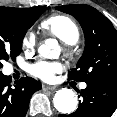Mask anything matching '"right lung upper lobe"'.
Segmentation results:
<instances>
[{
	"mask_svg": "<svg viewBox=\"0 0 117 117\" xmlns=\"http://www.w3.org/2000/svg\"><path fill=\"white\" fill-rule=\"evenodd\" d=\"M21 9H24V10H26V9H30V8H21Z\"/></svg>",
	"mask_w": 117,
	"mask_h": 117,
	"instance_id": "obj_1",
	"label": "right lung upper lobe"
}]
</instances>
